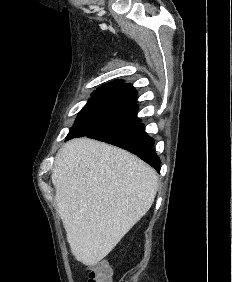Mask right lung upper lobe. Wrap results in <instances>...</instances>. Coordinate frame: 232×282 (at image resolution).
<instances>
[{"label":"right lung upper lobe","mask_w":232,"mask_h":282,"mask_svg":"<svg viewBox=\"0 0 232 282\" xmlns=\"http://www.w3.org/2000/svg\"><path fill=\"white\" fill-rule=\"evenodd\" d=\"M108 91H122V92L134 91L136 92L134 90V87L130 86L127 83H124L123 80H115L105 85H102L94 93L108 92Z\"/></svg>","instance_id":"right-lung-upper-lobe-1"}]
</instances>
